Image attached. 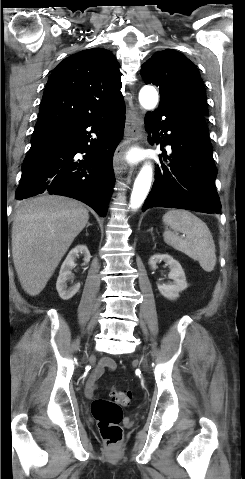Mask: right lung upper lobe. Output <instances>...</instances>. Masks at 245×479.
Here are the masks:
<instances>
[{
	"mask_svg": "<svg viewBox=\"0 0 245 479\" xmlns=\"http://www.w3.org/2000/svg\"><path fill=\"white\" fill-rule=\"evenodd\" d=\"M121 75L115 56L103 48L65 58L48 79L34 133L60 121L124 108Z\"/></svg>",
	"mask_w": 245,
	"mask_h": 479,
	"instance_id": "cb5924a9",
	"label": "right lung upper lobe"
}]
</instances>
